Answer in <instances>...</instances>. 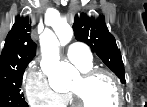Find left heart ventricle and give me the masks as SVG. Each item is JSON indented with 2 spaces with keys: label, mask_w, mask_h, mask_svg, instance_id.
Here are the masks:
<instances>
[{
  "label": "left heart ventricle",
  "mask_w": 147,
  "mask_h": 107,
  "mask_svg": "<svg viewBox=\"0 0 147 107\" xmlns=\"http://www.w3.org/2000/svg\"><path fill=\"white\" fill-rule=\"evenodd\" d=\"M89 107H113L117 103V91L111 80L99 75L89 82L79 76L71 86Z\"/></svg>",
  "instance_id": "obj_1"
}]
</instances>
